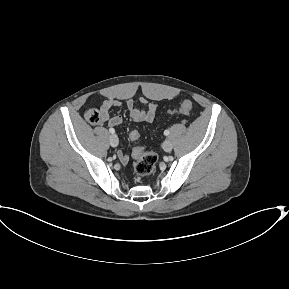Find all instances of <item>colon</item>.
Returning <instances> with one entry per match:
<instances>
[{
	"label": "colon",
	"instance_id": "1",
	"mask_svg": "<svg viewBox=\"0 0 289 289\" xmlns=\"http://www.w3.org/2000/svg\"><path fill=\"white\" fill-rule=\"evenodd\" d=\"M191 109H192V102L186 99L182 101L178 107L170 110V112L186 114L189 113ZM84 116L85 119L93 125L100 124L104 120V114L102 113L101 110L96 108L87 109ZM130 139L132 142H137L140 139L139 132L133 131L130 134ZM134 156H135L134 171L138 176L147 177L154 173L157 163V155L155 152L145 151L137 146L134 148Z\"/></svg>",
	"mask_w": 289,
	"mask_h": 289
}]
</instances>
